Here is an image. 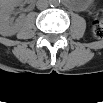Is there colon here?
I'll return each mask as SVG.
<instances>
[{"instance_id": "colon-1", "label": "colon", "mask_w": 103, "mask_h": 103, "mask_svg": "<svg viewBox=\"0 0 103 103\" xmlns=\"http://www.w3.org/2000/svg\"><path fill=\"white\" fill-rule=\"evenodd\" d=\"M92 35L99 39L103 36V21L100 17L96 18L92 24Z\"/></svg>"}]
</instances>
